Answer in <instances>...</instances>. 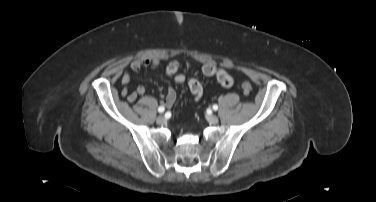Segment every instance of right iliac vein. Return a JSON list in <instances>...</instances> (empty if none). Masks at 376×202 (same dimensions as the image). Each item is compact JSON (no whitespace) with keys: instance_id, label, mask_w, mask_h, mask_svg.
<instances>
[{"instance_id":"63e3f726","label":"right iliac vein","mask_w":376,"mask_h":202,"mask_svg":"<svg viewBox=\"0 0 376 202\" xmlns=\"http://www.w3.org/2000/svg\"><path fill=\"white\" fill-rule=\"evenodd\" d=\"M156 121L158 124H163L166 121V119L163 115H160L157 117Z\"/></svg>"}]
</instances>
